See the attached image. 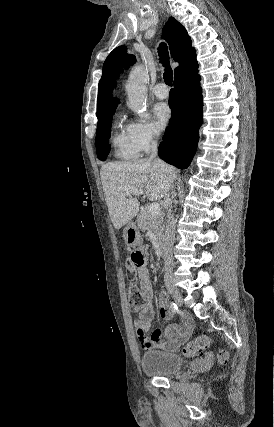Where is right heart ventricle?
Here are the masks:
<instances>
[{"instance_id": "e07e8e85", "label": "right heart ventricle", "mask_w": 274, "mask_h": 427, "mask_svg": "<svg viewBox=\"0 0 274 427\" xmlns=\"http://www.w3.org/2000/svg\"><path fill=\"white\" fill-rule=\"evenodd\" d=\"M111 146L114 156L121 160H135L140 155L132 139L129 125H117L111 137Z\"/></svg>"}]
</instances>
